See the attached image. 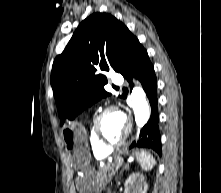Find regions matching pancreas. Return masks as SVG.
I'll return each instance as SVG.
<instances>
[{
    "label": "pancreas",
    "mask_w": 221,
    "mask_h": 193,
    "mask_svg": "<svg viewBox=\"0 0 221 193\" xmlns=\"http://www.w3.org/2000/svg\"><path fill=\"white\" fill-rule=\"evenodd\" d=\"M113 171L114 168L111 165H105L100 167L96 175V190L100 192L106 187V184L111 181L112 177L110 176V171Z\"/></svg>",
    "instance_id": "cf45deb5"
}]
</instances>
